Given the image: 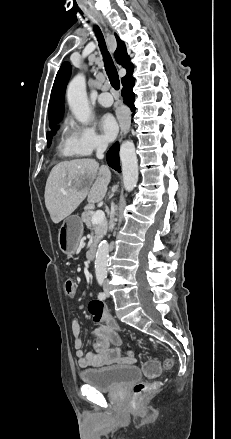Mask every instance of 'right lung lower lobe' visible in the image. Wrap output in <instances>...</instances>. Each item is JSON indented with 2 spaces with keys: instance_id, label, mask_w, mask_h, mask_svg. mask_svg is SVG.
Listing matches in <instances>:
<instances>
[{
  "instance_id": "98d812e1",
  "label": "right lung lower lobe",
  "mask_w": 231,
  "mask_h": 439,
  "mask_svg": "<svg viewBox=\"0 0 231 439\" xmlns=\"http://www.w3.org/2000/svg\"><path fill=\"white\" fill-rule=\"evenodd\" d=\"M122 96L124 98V102L131 108V110L135 111L134 99L135 95L132 91L134 86V78L130 77L122 82ZM107 162L110 167L120 172V160H119V144L115 143L107 152Z\"/></svg>"
}]
</instances>
